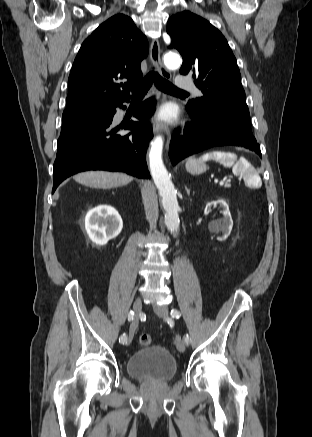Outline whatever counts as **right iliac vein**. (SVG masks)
<instances>
[{
  "label": "right iliac vein",
  "instance_id": "obj_1",
  "mask_svg": "<svg viewBox=\"0 0 312 437\" xmlns=\"http://www.w3.org/2000/svg\"><path fill=\"white\" fill-rule=\"evenodd\" d=\"M141 310H142V303H141L140 298H137L133 303V311L135 312V318L133 319V322H132L131 327H130L129 339L126 342L127 344H129L131 342L133 334L135 332V329L137 328L138 320H139L138 316L141 313Z\"/></svg>",
  "mask_w": 312,
  "mask_h": 437
}]
</instances>
